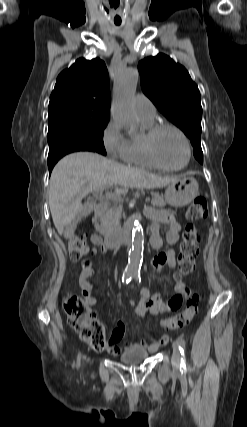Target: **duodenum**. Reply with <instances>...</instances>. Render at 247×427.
Masks as SVG:
<instances>
[{"mask_svg":"<svg viewBox=\"0 0 247 427\" xmlns=\"http://www.w3.org/2000/svg\"><path fill=\"white\" fill-rule=\"evenodd\" d=\"M106 209L107 206L105 203H99L94 211L95 217L103 215ZM132 229V223H126L120 232L111 234L105 238V247L109 250H117L122 245L130 243L132 239Z\"/></svg>","mask_w":247,"mask_h":427,"instance_id":"410a0bca","label":"duodenum"}]
</instances>
